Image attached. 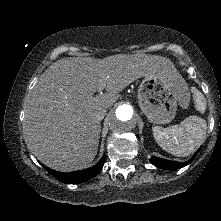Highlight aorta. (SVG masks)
Returning a JSON list of instances; mask_svg holds the SVG:
<instances>
[{
  "instance_id": "762f6f07",
  "label": "aorta",
  "mask_w": 221,
  "mask_h": 221,
  "mask_svg": "<svg viewBox=\"0 0 221 221\" xmlns=\"http://www.w3.org/2000/svg\"><path fill=\"white\" fill-rule=\"evenodd\" d=\"M109 126L111 131L119 135L134 130L136 118L132 106L129 104L119 105L110 117Z\"/></svg>"
}]
</instances>
